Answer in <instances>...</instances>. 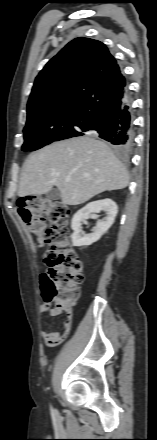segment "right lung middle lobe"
<instances>
[{
	"mask_svg": "<svg viewBox=\"0 0 157 440\" xmlns=\"http://www.w3.org/2000/svg\"><path fill=\"white\" fill-rule=\"evenodd\" d=\"M23 151H34L54 141L84 135L82 124L29 120L23 130Z\"/></svg>",
	"mask_w": 157,
	"mask_h": 440,
	"instance_id": "dd1d6c3e",
	"label": "right lung middle lobe"
}]
</instances>
